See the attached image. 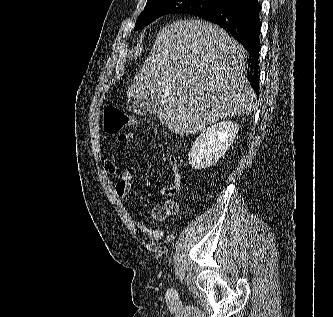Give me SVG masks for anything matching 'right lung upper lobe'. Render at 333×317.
<instances>
[{"mask_svg": "<svg viewBox=\"0 0 333 317\" xmlns=\"http://www.w3.org/2000/svg\"><path fill=\"white\" fill-rule=\"evenodd\" d=\"M226 1H228V2H232V1H236V0H226Z\"/></svg>", "mask_w": 333, "mask_h": 317, "instance_id": "obj_1", "label": "right lung upper lobe"}]
</instances>
